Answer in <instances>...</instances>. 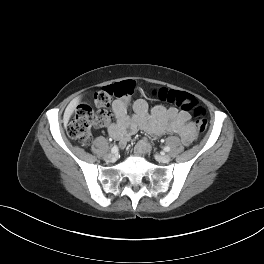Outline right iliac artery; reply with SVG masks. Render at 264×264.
Segmentation results:
<instances>
[{
    "label": "right iliac artery",
    "mask_w": 264,
    "mask_h": 264,
    "mask_svg": "<svg viewBox=\"0 0 264 264\" xmlns=\"http://www.w3.org/2000/svg\"><path fill=\"white\" fill-rule=\"evenodd\" d=\"M111 152L112 153H117L118 152V146L117 145H114L113 147H112V149H111Z\"/></svg>",
    "instance_id": "1"
}]
</instances>
